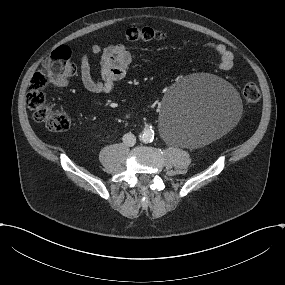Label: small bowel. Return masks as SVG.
Returning a JSON list of instances; mask_svg holds the SVG:
<instances>
[{
  "mask_svg": "<svg viewBox=\"0 0 285 285\" xmlns=\"http://www.w3.org/2000/svg\"><path fill=\"white\" fill-rule=\"evenodd\" d=\"M217 55V67L228 71L233 67L232 52L221 43L206 44ZM91 52L99 58V77L93 74V68L88 54H83L80 60V79L86 90L92 93H110L116 84L125 77L133 63L132 53L122 44H108L101 47L94 43ZM66 81L60 85H65Z\"/></svg>",
  "mask_w": 285,
  "mask_h": 285,
  "instance_id": "1",
  "label": "small bowel"
}]
</instances>
